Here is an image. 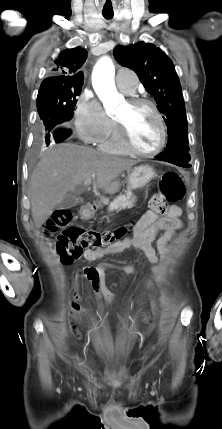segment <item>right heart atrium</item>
I'll list each match as a JSON object with an SVG mask.
<instances>
[{"mask_svg": "<svg viewBox=\"0 0 222 429\" xmlns=\"http://www.w3.org/2000/svg\"><path fill=\"white\" fill-rule=\"evenodd\" d=\"M77 133L87 143L104 139L112 130L114 121L107 115L95 94L85 89L79 95L74 110Z\"/></svg>", "mask_w": 222, "mask_h": 429, "instance_id": "d8ad5b80", "label": "right heart atrium"}]
</instances>
